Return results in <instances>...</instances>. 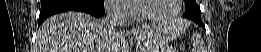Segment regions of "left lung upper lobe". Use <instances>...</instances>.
I'll return each instance as SVG.
<instances>
[{
	"instance_id": "5c2ea615",
	"label": "left lung upper lobe",
	"mask_w": 261,
	"mask_h": 52,
	"mask_svg": "<svg viewBox=\"0 0 261 52\" xmlns=\"http://www.w3.org/2000/svg\"><path fill=\"white\" fill-rule=\"evenodd\" d=\"M185 6L186 10L183 17L193 20L200 26H204L201 21L200 7L197 5L196 0H185Z\"/></svg>"
}]
</instances>
